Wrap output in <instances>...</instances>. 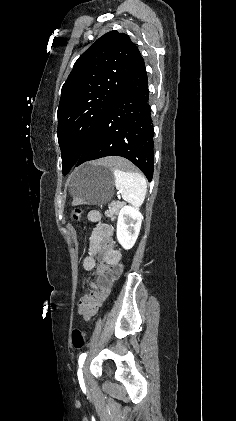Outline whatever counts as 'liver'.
I'll return each instance as SVG.
<instances>
[{
	"label": "liver",
	"mask_w": 236,
	"mask_h": 421,
	"mask_svg": "<svg viewBox=\"0 0 236 421\" xmlns=\"http://www.w3.org/2000/svg\"><path fill=\"white\" fill-rule=\"evenodd\" d=\"M117 164V162H121V158H118V156H106V158H103V160H99L98 164H105V166H108V164Z\"/></svg>",
	"instance_id": "1"
}]
</instances>
